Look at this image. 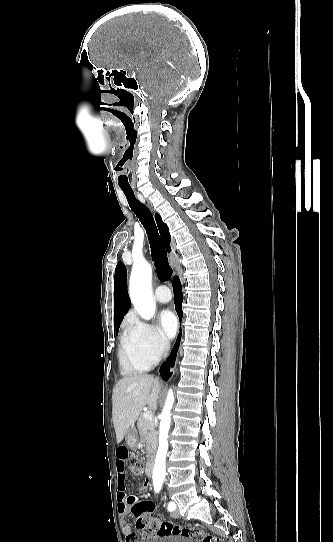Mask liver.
Masks as SVG:
<instances>
[{"instance_id":"6515ba94","label":"liver","mask_w":333,"mask_h":542,"mask_svg":"<svg viewBox=\"0 0 333 542\" xmlns=\"http://www.w3.org/2000/svg\"><path fill=\"white\" fill-rule=\"evenodd\" d=\"M161 386L149 374L123 376L113 390V426L117 444H121L130 426H134L145 406L156 410Z\"/></svg>"}]
</instances>
